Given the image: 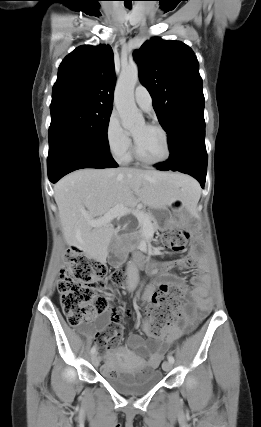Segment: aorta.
Wrapping results in <instances>:
<instances>
[{
	"label": "aorta",
	"instance_id": "aorta-1",
	"mask_svg": "<svg viewBox=\"0 0 261 427\" xmlns=\"http://www.w3.org/2000/svg\"><path fill=\"white\" fill-rule=\"evenodd\" d=\"M138 81V66L135 63L122 68L115 89V106L120 116L122 126L133 130L145 124L134 100V88Z\"/></svg>",
	"mask_w": 261,
	"mask_h": 427
}]
</instances>
